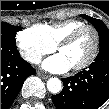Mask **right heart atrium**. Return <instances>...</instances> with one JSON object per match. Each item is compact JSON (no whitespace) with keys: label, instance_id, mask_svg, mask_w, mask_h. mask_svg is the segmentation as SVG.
<instances>
[{"label":"right heart atrium","instance_id":"d8ad5b80","mask_svg":"<svg viewBox=\"0 0 109 109\" xmlns=\"http://www.w3.org/2000/svg\"><path fill=\"white\" fill-rule=\"evenodd\" d=\"M16 43L21 56L33 64L38 63L43 55L52 53L56 49L40 26L18 32Z\"/></svg>","mask_w":109,"mask_h":109}]
</instances>
